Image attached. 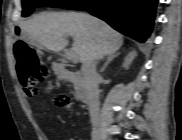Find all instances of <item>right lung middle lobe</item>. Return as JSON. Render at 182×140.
I'll return each mask as SVG.
<instances>
[{
  "label": "right lung middle lobe",
  "mask_w": 182,
  "mask_h": 140,
  "mask_svg": "<svg viewBox=\"0 0 182 140\" xmlns=\"http://www.w3.org/2000/svg\"><path fill=\"white\" fill-rule=\"evenodd\" d=\"M99 0H58L51 2L48 0H22V16L30 15L36 7L51 6L70 10H83L85 7L97 3Z\"/></svg>",
  "instance_id": "dd1d6c3e"
}]
</instances>
